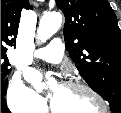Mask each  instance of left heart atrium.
<instances>
[{
	"instance_id": "left-heart-atrium-1",
	"label": "left heart atrium",
	"mask_w": 121,
	"mask_h": 113,
	"mask_svg": "<svg viewBox=\"0 0 121 113\" xmlns=\"http://www.w3.org/2000/svg\"><path fill=\"white\" fill-rule=\"evenodd\" d=\"M30 78L34 81V82H38L39 80V75L37 72L31 71L30 72Z\"/></svg>"
}]
</instances>
